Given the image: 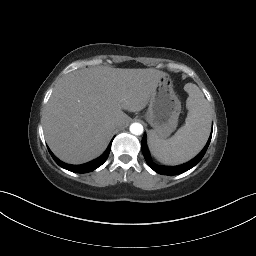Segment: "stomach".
<instances>
[{
	"label": "stomach",
	"mask_w": 256,
	"mask_h": 256,
	"mask_svg": "<svg viewBox=\"0 0 256 256\" xmlns=\"http://www.w3.org/2000/svg\"><path fill=\"white\" fill-rule=\"evenodd\" d=\"M180 113L181 102L173 89L172 80L164 74L151 95L146 121L157 137L163 139L176 129Z\"/></svg>",
	"instance_id": "obj_1"
}]
</instances>
